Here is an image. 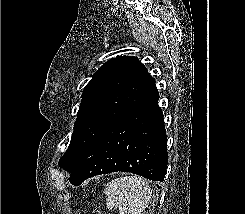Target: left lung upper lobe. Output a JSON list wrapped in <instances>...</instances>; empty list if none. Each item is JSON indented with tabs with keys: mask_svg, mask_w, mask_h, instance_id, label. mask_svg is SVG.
<instances>
[{
	"mask_svg": "<svg viewBox=\"0 0 245 214\" xmlns=\"http://www.w3.org/2000/svg\"><path fill=\"white\" fill-rule=\"evenodd\" d=\"M156 90L155 79L138 58L119 56L106 62L83 91L70 145L59 166L71 171L110 124Z\"/></svg>",
	"mask_w": 245,
	"mask_h": 214,
	"instance_id": "obj_1",
	"label": "left lung upper lobe"
}]
</instances>
